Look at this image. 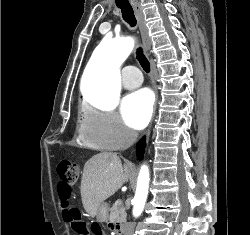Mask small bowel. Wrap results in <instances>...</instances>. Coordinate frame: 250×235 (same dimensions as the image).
Segmentation results:
<instances>
[{
  "label": "small bowel",
  "instance_id": "c3829d8e",
  "mask_svg": "<svg viewBox=\"0 0 250 235\" xmlns=\"http://www.w3.org/2000/svg\"><path fill=\"white\" fill-rule=\"evenodd\" d=\"M88 233H89V231H88V229H86L85 232L81 233V235H89ZM91 235H102V234L100 233V231H98L96 229H92Z\"/></svg>",
  "mask_w": 250,
  "mask_h": 235
}]
</instances>
